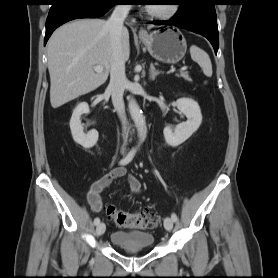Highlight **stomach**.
I'll list each match as a JSON object with an SVG mask.
<instances>
[{
    "label": "stomach",
    "mask_w": 278,
    "mask_h": 278,
    "mask_svg": "<svg viewBox=\"0 0 278 278\" xmlns=\"http://www.w3.org/2000/svg\"><path fill=\"white\" fill-rule=\"evenodd\" d=\"M139 39L153 58L168 64L179 62L187 50L186 39L177 29L156 30Z\"/></svg>",
    "instance_id": "obj_1"
}]
</instances>
